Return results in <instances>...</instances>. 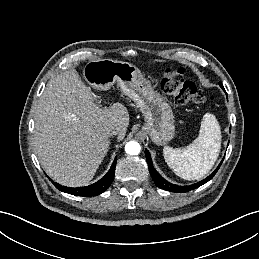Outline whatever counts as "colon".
Wrapping results in <instances>:
<instances>
[{
  "mask_svg": "<svg viewBox=\"0 0 259 259\" xmlns=\"http://www.w3.org/2000/svg\"><path fill=\"white\" fill-rule=\"evenodd\" d=\"M163 91L171 95L178 105L200 106L206 101H212L213 97L206 98L197 86L184 79L183 68H170L166 70L161 82Z\"/></svg>",
  "mask_w": 259,
  "mask_h": 259,
  "instance_id": "colon-1",
  "label": "colon"
}]
</instances>
